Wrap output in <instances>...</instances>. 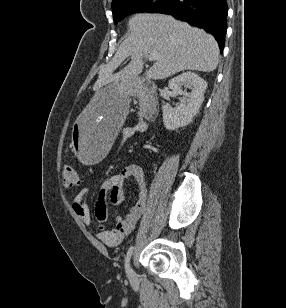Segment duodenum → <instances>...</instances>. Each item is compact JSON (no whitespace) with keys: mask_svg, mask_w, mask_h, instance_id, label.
Segmentation results:
<instances>
[{"mask_svg":"<svg viewBox=\"0 0 286 308\" xmlns=\"http://www.w3.org/2000/svg\"><path fill=\"white\" fill-rule=\"evenodd\" d=\"M133 89L136 91H144L148 95L149 109L148 120L152 121L156 118L159 112V100L157 97L156 84L147 78H136L132 83Z\"/></svg>","mask_w":286,"mask_h":308,"instance_id":"obj_1","label":"duodenum"}]
</instances>
